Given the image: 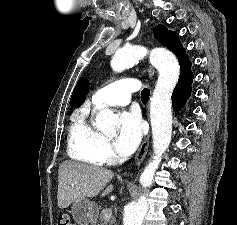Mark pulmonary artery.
I'll list each match as a JSON object with an SVG mask.
<instances>
[{
    "label": "pulmonary artery",
    "mask_w": 237,
    "mask_h": 225,
    "mask_svg": "<svg viewBox=\"0 0 237 225\" xmlns=\"http://www.w3.org/2000/svg\"><path fill=\"white\" fill-rule=\"evenodd\" d=\"M139 87L134 78L120 79L98 89L92 96V102L97 107L125 106Z\"/></svg>",
    "instance_id": "pulmonary-artery-1"
}]
</instances>
